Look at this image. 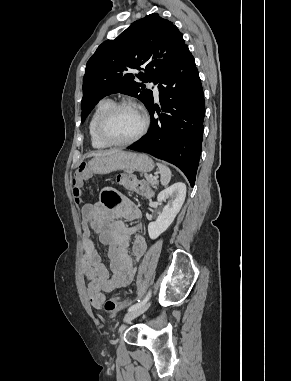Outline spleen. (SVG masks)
Segmentation results:
<instances>
[{
    "label": "spleen",
    "instance_id": "1",
    "mask_svg": "<svg viewBox=\"0 0 291 381\" xmlns=\"http://www.w3.org/2000/svg\"><path fill=\"white\" fill-rule=\"evenodd\" d=\"M157 166L159 169V173L161 175V177H160L161 184L163 186L168 185V183L171 180V170L169 169V167H167L166 165H164L162 163H157Z\"/></svg>",
    "mask_w": 291,
    "mask_h": 381
}]
</instances>
